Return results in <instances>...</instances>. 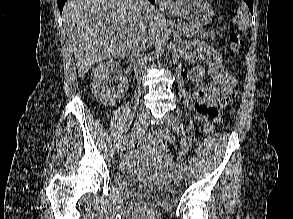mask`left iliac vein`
<instances>
[{
  "instance_id": "left-iliac-vein-1",
  "label": "left iliac vein",
  "mask_w": 293,
  "mask_h": 219,
  "mask_svg": "<svg viewBox=\"0 0 293 219\" xmlns=\"http://www.w3.org/2000/svg\"><path fill=\"white\" fill-rule=\"evenodd\" d=\"M166 120H167V123L170 125V127L172 128V130L177 134L179 135V126H178V121H177V118L175 117L174 114L172 113H167L166 114ZM181 171L183 174L186 173L187 171V165L184 161L181 162Z\"/></svg>"
}]
</instances>
